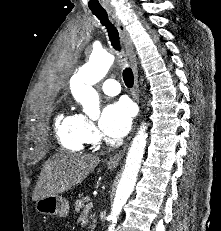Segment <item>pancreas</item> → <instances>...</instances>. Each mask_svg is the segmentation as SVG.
I'll return each instance as SVG.
<instances>
[{
	"mask_svg": "<svg viewBox=\"0 0 221 231\" xmlns=\"http://www.w3.org/2000/svg\"><path fill=\"white\" fill-rule=\"evenodd\" d=\"M88 201H89L88 197H83V195L80 194L78 199H76L75 204H74L75 211L77 213H80V211L85 207V203ZM91 219H92L93 223L96 222V220L93 217H91ZM89 228H90V231H94L95 224L90 225Z\"/></svg>",
	"mask_w": 221,
	"mask_h": 231,
	"instance_id": "obj_1",
	"label": "pancreas"
}]
</instances>
